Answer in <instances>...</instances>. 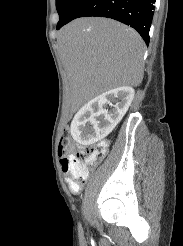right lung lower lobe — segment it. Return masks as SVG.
<instances>
[{
    "label": "right lung lower lobe",
    "instance_id": "right-lung-lower-lobe-1",
    "mask_svg": "<svg viewBox=\"0 0 183 246\" xmlns=\"http://www.w3.org/2000/svg\"><path fill=\"white\" fill-rule=\"evenodd\" d=\"M155 1L156 0H79L67 20L57 24V29H60L63 25L78 17H107L134 28L148 45Z\"/></svg>",
    "mask_w": 183,
    "mask_h": 246
}]
</instances>
